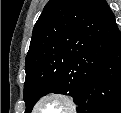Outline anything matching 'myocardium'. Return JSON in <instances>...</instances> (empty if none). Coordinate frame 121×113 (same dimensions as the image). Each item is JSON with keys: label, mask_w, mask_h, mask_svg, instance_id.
<instances>
[{"label": "myocardium", "mask_w": 121, "mask_h": 113, "mask_svg": "<svg viewBox=\"0 0 121 113\" xmlns=\"http://www.w3.org/2000/svg\"><path fill=\"white\" fill-rule=\"evenodd\" d=\"M48 99H56L64 102L67 106V110L64 113H71V111H74L76 109V105L72 97L61 92H51L44 94L36 101L33 107L34 113H38V108L40 107V105Z\"/></svg>", "instance_id": "f54148a6"}]
</instances>
